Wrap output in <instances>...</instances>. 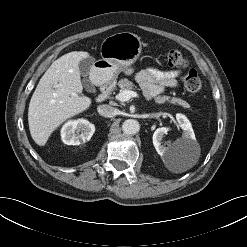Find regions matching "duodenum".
I'll use <instances>...</instances> for the list:
<instances>
[{
    "label": "duodenum",
    "mask_w": 247,
    "mask_h": 247,
    "mask_svg": "<svg viewBox=\"0 0 247 247\" xmlns=\"http://www.w3.org/2000/svg\"><path fill=\"white\" fill-rule=\"evenodd\" d=\"M110 93L111 87L109 85H104L97 97V101L100 103L104 102L109 97Z\"/></svg>",
    "instance_id": "410a0bca"
}]
</instances>
